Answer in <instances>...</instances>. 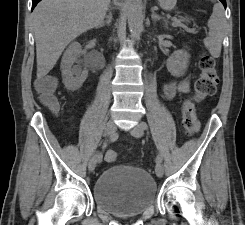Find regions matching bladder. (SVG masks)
<instances>
[{"label":"bladder","instance_id":"31cf9c89","mask_svg":"<svg viewBox=\"0 0 245 225\" xmlns=\"http://www.w3.org/2000/svg\"><path fill=\"white\" fill-rule=\"evenodd\" d=\"M94 203L106 213L140 215L158 198L153 177L137 166L115 165L102 170L92 185Z\"/></svg>","mask_w":245,"mask_h":225}]
</instances>
